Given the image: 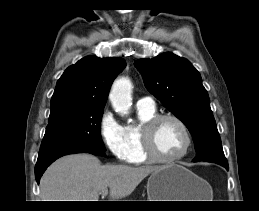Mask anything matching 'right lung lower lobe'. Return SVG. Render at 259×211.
<instances>
[{
	"label": "right lung lower lobe",
	"mask_w": 259,
	"mask_h": 211,
	"mask_svg": "<svg viewBox=\"0 0 259 211\" xmlns=\"http://www.w3.org/2000/svg\"><path fill=\"white\" fill-rule=\"evenodd\" d=\"M84 152H88L90 154L99 155V156H105V152L103 151L87 150L83 148H63V149H58V150L46 153L44 155L38 156V160L35 166V177H36L37 183L39 184L40 177L42 176L46 168L59 157L67 154L84 153Z\"/></svg>",
	"instance_id": "98d812e1"
}]
</instances>
